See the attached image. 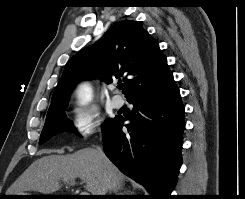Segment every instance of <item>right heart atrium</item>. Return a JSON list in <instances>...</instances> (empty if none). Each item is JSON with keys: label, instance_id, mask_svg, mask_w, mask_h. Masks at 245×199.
Here are the masks:
<instances>
[{"label": "right heart atrium", "instance_id": "1", "mask_svg": "<svg viewBox=\"0 0 245 199\" xmlns=\"http://www.w3.org/2000/svg\"><path fill=\"white\" fill-rule=\"evenodd\" d=\"M99 114L92 108L77 109L72 117V125L77 134L87 137L99 128Z\"/></svg>", "mask_w": 245, "mask_h": 199}]
</instances>
